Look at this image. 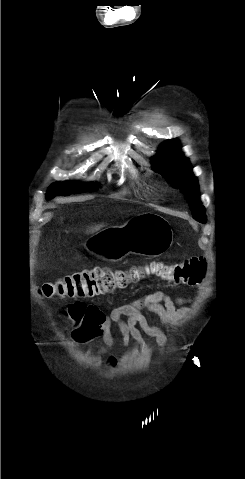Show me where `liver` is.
Returning a JSON list of instances; mask_svg holds the SVG:
<instances>
[{"instance_id":"1","label":"liver","mask_w":245,"mask_h":479,"mask_svg":"<svg viewBox=\"0 0 245 479\" xmlns=\"http://www.w3.org/2000/svg\"><path fill=\"white\" fill-rule=\"evenodd\" d=\"M95 229H96V230H98V229H99V227H96Z\"/></svg>"}]
</instances>
